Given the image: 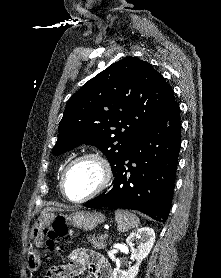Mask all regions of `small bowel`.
<instances>
[{
	"instance_id": "c3829d8e",
	"label": "small bowel",
	"mask_w": 221,
	"mask_h": 278,
	"mask_svg": "<svg viewBox=\"0 0 221 278\" xmlns=\"http://www.w3.org/2000/svg\"><path fill=\"white\" fill-rule=\"evenodd\" d=\"M86 270L90 272V278H111V267L105 258L85 248L70 253L67 264L63 266V278H80Z\"/></svg>"
}]
</instances>
